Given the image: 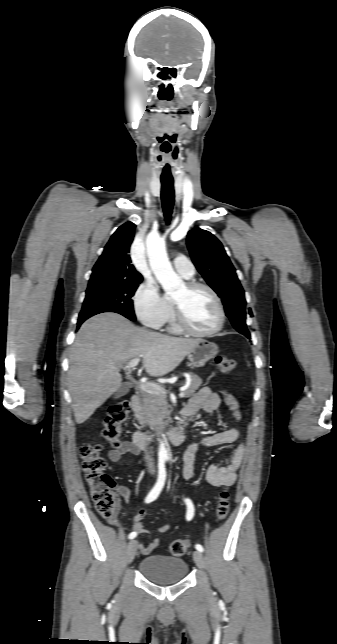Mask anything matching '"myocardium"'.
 <instances>
[{
	"instance_id": "obj_1",
	"label": "myocardium",
	"mask_w": 337,
	"mask_h": 644,
	"mask_svg": "<svg viewBox=\"0 0 337 644\" xmlns=\"http://www.w3.org/2000/svg\"><path fill=\"white\" fill-rule=\"evenodd\" d=\"M185 287H186L187 291H189V292L194 291V290L199 289V288H202V289L207 290L211 294V296L213 297V299H214V301H215V303L217 305V308H218V314H219L218 322H217L216 326L214 328H212L211 330H209V331H206V332L195 331L187 323V321L185 319V316H184V313H183L182 306L179 303H177V302L172 300L171 308H172V314H173V319H174L175 325L177 326V328L181 332H183V333H185L187 335L193 336V337L210 338V337L215 336L217 333H219L223 329L224 324H225V320H226V312H225V308H224L222 299L220 298V296L218 295V293L216 292V290L213 287H211L210 285H208L206 283H203V282L188 281L185 284Z\"/></svg>"
}]
</instances>
